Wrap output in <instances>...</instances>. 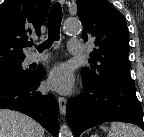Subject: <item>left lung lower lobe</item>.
Listing matches in <instances>:
<instances>
[{
    "label": "left lung lower lobe",
    "instance_id": "1",
    "mask_svg": "<svg viewBox=\"0 0 144 137\" xmlns=\"http://www.w3.org/2000/svg\"><path fill=\"white\" fill-rule=\"evenodd\" d=\"M83 87L80 95L67 102V120L75 137L109 121L133 123L144 130L143 110L135 87L111 82Z\"/></svg>",
    "mask_w": 144,
    "mask_h": 137
}]
</instances>
